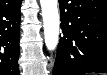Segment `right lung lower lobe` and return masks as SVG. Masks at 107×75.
Segmentation results:
<instances>
[{"mask_svg":"<svg viewBox=\"0 0 107 75\" xmlns=\"http://www.w3.org/2000/svg\"><path fill=\"white\" fill-rule=\"evenodd\" d=\"M21 0L0 1V75H19Z\"/></svg>","mask_w":107,"mask_h":75,"instance_id":"right-lung-lower-lobe-1","label":"right lung lower lobe"}]
</instances>
